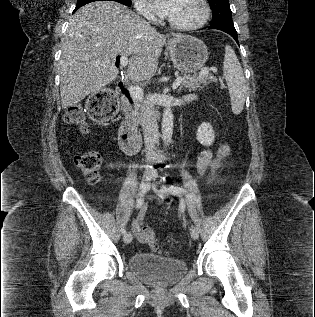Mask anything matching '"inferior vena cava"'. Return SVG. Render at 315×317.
I'll use <instances>...</instances> for the list:
<instances>
[{
	"mask_svg": "<svg viewBox=\"0 0 315 317\" xmlns=\"http://www.w3.org/2000/svg\"><path fill=\"white\" fill-rule=\"evenodd\" d=\"M140 122L144 135L146 158L151 160L154 156L153 149L158 142L159 132L154 105L149 98L144 101L141 107Z\"/></svg>",
	"mask_w": 315,
	"mask_h": 317,
	"instance_id": "inferior-vena-cava-1",
	"label": "inferior vena cava"
}]
</instances>
